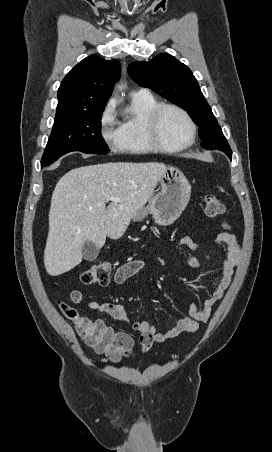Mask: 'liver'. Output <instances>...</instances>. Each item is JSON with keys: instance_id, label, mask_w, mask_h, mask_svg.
<instances>
[{"instance_id": "6515ba94", "label": "liver", "mask_w": 272, "mask_h": 452, "mask_svg": "<svg viewBox=\"0 0 272 452\" xmlns=\"http://www.w3.org/2000/svg\"><path fill=\"white\" fill-rule=\"evenodd\" d=\"M166 169L162 163L108 162L75 168L57 182L51 198L44 265L51 276L81 263L82 245L99 249L119 239L133 215L153 195ZM118 197L106 208L107 197Z\"/></svg>"}]
</instances>
